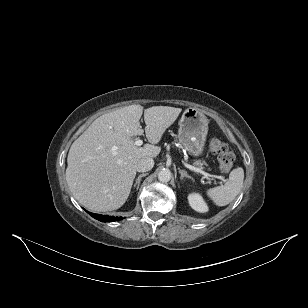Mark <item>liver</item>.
Returning <instances> with one entry per match:
<instances>
[{
	"mask_svg": "<svg viewBox=\"0 0 308 308\" xmlns=\"http://www.w3.org/2000/svg\"><path fill=\"white\" fill-rule=\"evenodd\" d=\"M181 108L153 106L144 110L148 142L138 147L134 136L142 135L141 105H130L106 113L73 142L67 157L66 181L75 199L95 212L120 208L127 200L137 164L144 157H156V146Z\"/></svg>",
	"mask_w": 308,
	"mask_h": 308,
	"instance_id": "1",
	"label": "liver"
}]
</instances>
